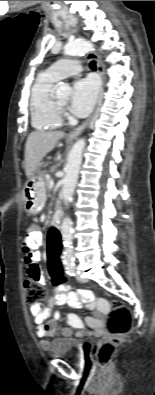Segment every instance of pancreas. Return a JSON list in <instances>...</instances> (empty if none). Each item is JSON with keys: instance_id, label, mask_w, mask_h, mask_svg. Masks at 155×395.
<instances>
[{"instance_id": "cf45deb5", "label": "pancreas", "mask_w": 155, "mask_h": 395, "mask_svg": "<svg viewBox=\"0 0 155 395\" xmlns=\"http://www.w3.org/2000/svg\"><path fill=\"white\" fill-rule=\"evenodd\" d=\"M44 185H45V188L47 189V190H50V188H49V183H50V181H53V179L52 178H50V177H44Z\"/></svg>"}]
</instances>
